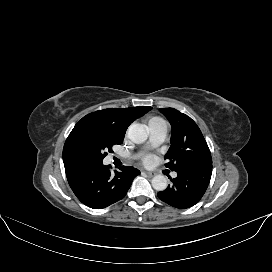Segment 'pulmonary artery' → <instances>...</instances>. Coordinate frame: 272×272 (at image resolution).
Returning <instances> with one entry per match:
<instances>
[{"instance_id":"pulmonary-artery-1","label":"pulmonary artery","mask_w":272,"mask_h":272,"mask_svg":"<svg viewBox=\"0 0 272 272\" xmlns=\"http://www.w3.org/2000/svg\"><path fill=\"white\" fill-rule=\"evenodd\" d=\"M149 131L151 145L157 146L165 140L167 136L168 127L164 121H161L155 124H150ZM172 176L176 177L177 173H173Z\"/></svg>"}]
</instances>
